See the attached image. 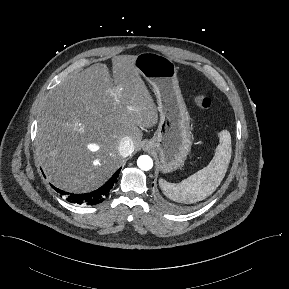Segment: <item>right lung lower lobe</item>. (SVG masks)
Here are the masks:
<instances>
[{
  "label": "right lung lower lobe",
  "mask_w": 289,
  "mask_h": 289,
  "mask_svg": "<svg viewBox=\"0 0 289 289\" xmlns=\"http://www.w3.org/2000/svg\"><path fill=\"white\" fill-rule=\"evenodd\" d=\"M120 170L121 168L102 187L90 193L69 194L53 186L52 187L61 195H67L66 199L71 203H78V204L83 203L87 205H95L102 202L104 198L107 196L108 192L110 191L115 181L117 180Z\"/></svg>",
  "instance_id": "98d812e1"
}]
</instances>
